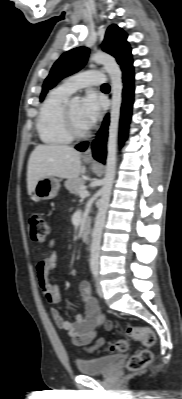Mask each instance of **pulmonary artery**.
<instances>
[{
  "mask_svg": "<svg viewBox=\"0 0 182 399\" xmlns=\"http://www.w3.org/2000/svg\"><path fill=\"white\" fill-rule=\"evenodd\" d=\"M104 80L105 75L103 72L99 70H87L67 78L60 86L69 93H73L91 85L102 84Z\"/></svg>",
  "mask_w": 182,
  "mask_h": 399,
  "instance_id": "obj_1",
  "label": "pulmonary artery"
}]
</instances>
